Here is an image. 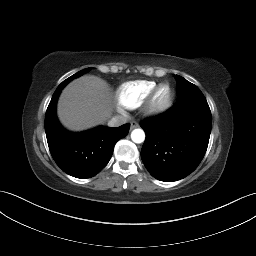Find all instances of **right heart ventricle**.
Listing matches in <instances>:
<instances>
[{
  "label": "right heart ventricle",
  "mask_w": 256,
  "mask_h": 256,
  "mask_svg": "<svg viewBox=\"0 0 256 256\" xmlns=\"http://www.w3.org/2000/svg\"><path fill=\"white\" fill-rule=\"evenodd\" d=\"M157 86L155 81L138 80L124 83L117 91L119 106L134 109L143 103Z\"/></svg>",
  "instance_id": "e07e8e85"
}]
</instances>
